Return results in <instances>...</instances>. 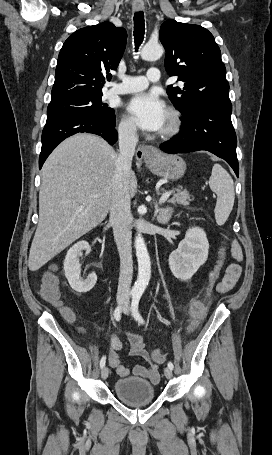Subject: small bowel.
I'll use <instances>...</instances> for the list:
<instances>
[{
	"mask_svg": "<svg viewBox=\"0 0 272 455\" xmlns=\"http://www.w3.org/2000/svg\"><path fill=\"white\" fill-rule=\"evenodd\" d=\"M231 254L236 261L227 266L226 271L222 279L215 284V289L219 293H226L230 291L238 282L242 268L239 264L243 260V252L239 243L235 240L231 242ZM164 300H169V294L163 295ZM111 350L108 355L109 365L116 371L120 377H127L130 374L128 367L123 365L120 361L118 352L123 349V344L116 335H111ZM129 355L132 357H141L149 360L148 352L145 350L143 338L140 334L130 333L129 334ZM133 374L148 379L152 383H157L160 377L159 369L157 364L151 366L135 365L132 370Z\"/></svg>",
	"mask_w": 272,
	"mask_h": 455,
	"instance_id": "1",
	"label": "small bowel"
}]
</instances>
